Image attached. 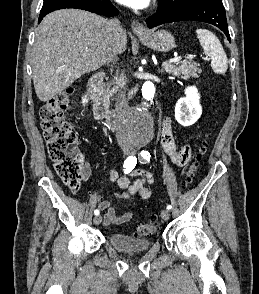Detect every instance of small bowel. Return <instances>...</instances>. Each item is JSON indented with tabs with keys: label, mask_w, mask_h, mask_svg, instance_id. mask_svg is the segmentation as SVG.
Masks as SVG:
<instances>
[{
	"label": "small bowel",
	"mask_w": 259,
	"mask_h": 294,
	"mask_svg": "<svg viewBox=\"0 0 259 294\" xmlns=\"http://www.w3.org/2000/svg\"><path fill=\"white\" fill-rule=\"evenodd\" d=\"M161 143L170 158L178 165H185L191 156V148L188 144L178 149L172 132L170 118H165L162 123L161 131ZM91 175V166L87 160H84L82 167V177L87 180ZM129 176L136 177L137 179L132 181ZM109 179L112 182H116L118 186L124 190L118 194V198L122 200L132 201L135 195H139L143 199H149L151 197V190L147 184L153 181V175L149 171L143 169H132L129 175L118 176L115 171L109 172ZM98 207L105 211L104 224L105 225H120L128 222L132 213L130 211H124L118 214L112 207L111 202L108 200L100 199Z\"/></svg>",
	"instance_id": "obj_1"
}]
</instances>
